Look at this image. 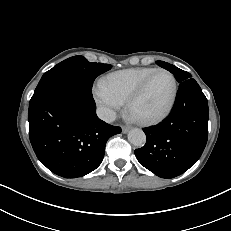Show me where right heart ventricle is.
<instances>
[{
    "mask_svg": "<svg viewBox=\"0 0 231 231\" xmlns=\"http://www.w3.org/2000/svg\"><path fill=\"white\" fill-rule=\"evenodd\" d=\"M154 70L151 67H140L116 71L105 76L100 86L123 103Z\"/></svg>",
    "mask_w": 231,
    "mask_h": 231,
    "instance_id": "e07e8e85",
    "label": "right heart ventricle"
}]
</instances>
